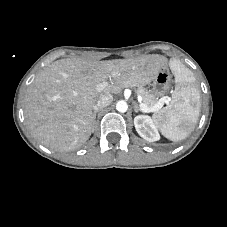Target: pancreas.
Segmentation results:
<instances>
[{"label":"pancreas","instance_id":"pancreas-1","mask_svg":"<svg viewBox=\"0 0 227 227\" xmlns=\"http://www.w3.org/2000/svg\"><path fill=\"white\" fill-rule=\"evenodd\" d=\"M137 94L141 96L143 104H145L148 108H152L155 104H157L156 96L142 86L138 87Z\"/></svg>","mask_w":227,"mask_h":227}]
</instances>
